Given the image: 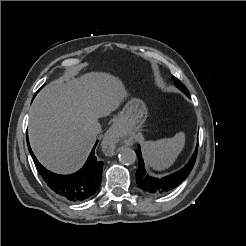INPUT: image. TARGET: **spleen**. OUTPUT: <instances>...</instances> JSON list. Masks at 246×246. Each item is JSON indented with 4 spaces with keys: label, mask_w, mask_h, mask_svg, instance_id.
I'll use <instances>...</instances> for the list:
<instances>
[{
    "label": "spleen",
    "mask_w": 246,
    "mask_h": 246,
    "mask_svg": "<svg viewBox=\"0 0 246 246\" xmlns=\"http://www.w3.org/2000/svg\"><path fill=\"white\" fill-rule=\"evenodd\" d=\"M185 145L184 132L171 138L145 141L142 150L146 163L155 170H164L174 164Z\"/></svg>",
    "instance_id": "spleen-1"
}]
</instances>
